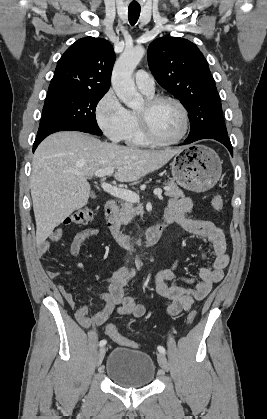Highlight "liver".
I'll use <instances>...</instances> for the list:
<instances>
[{
    "instance_id": "obj_1",
    "label": "liver",
    "mask_w": 267,
    "mask_h": 419,
    "mask_svg": "<svg viewBox=\"0 0 267 419\" xmlns=\"http://www.w3.org/2000/svg\"><path fill=\"white\" fill-rule=\"evenodd\" d=\"M180 150H142L75 131L48 136L34 153L30 177L37 244L88 203L87 179L98 170L116 168L117 181L133 182L164 166Z\"/></svg>"
}]
</instances>
